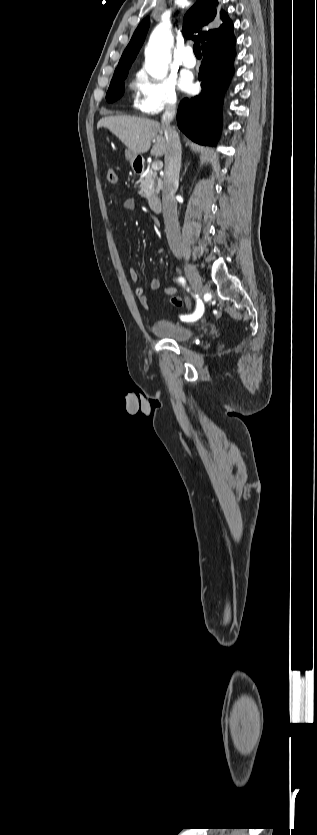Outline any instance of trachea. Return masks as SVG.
<instances>
[{"label": "trachea", "mask_w": 317, "mask_h": 835, "mask_svg": "<svg viewBox=\"0 0 317 835\" xmlns=\"http://www.w3.org/2000/svg\"><path fill=\"white\" fill-rule=\"evenodd\" d=\"M193 51H194V54H195L196 56H201V55H202V53H201V49H200V43H199V42H196V43L194 44V46H193Z\"/></svg>", "instance_id": "obj_1"}]
</instances>
